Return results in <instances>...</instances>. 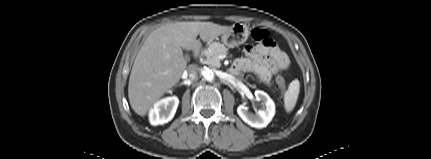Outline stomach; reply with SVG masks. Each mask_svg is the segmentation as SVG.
I'll return each mask as SVG.
<instances>
[{"mask_svg":"<svg viewBox=\"0 0 431 159\" xmlns=\"http://www.w3.org/2000/svg\"><path fill=\"white\" fill-rule=\"evenodd\" d=\"M249 36V29L245 24H233L230 29L221 35V41L229 48L243 44Z\"/></svg>","mask_w":431,"mask_h":159,"instance_id":"1","label":"stomach"}]
</instances>
